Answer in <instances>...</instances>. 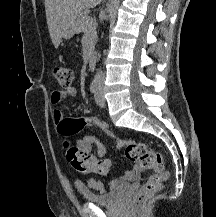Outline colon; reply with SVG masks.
I'll return each instance as SVG.
<instances>
[{
    "label": "colon",
    "mask_w": 216,
    "mask_h": 217,
    "mask_svg": "<svg viewBox=\"0 0 216 217\" xmlns=\"http://www.w3.org/2000/svg\"><path fill=\"white\" fill-rule=\"evenodd\" d=\"M53 76L62 87L69 88L71 86L73 74L70 68L56 66L53 69ZM86 126L98 129L114 140L124 149L125 158L141 170L153 171V174L135 194V204L140 205L146 202L167 181L169 173L165 168L163 156L160 152L150 149L141 141L120 136L103 119L95 117L67 119L60 125L59 131L63 135L68 136L79 132ZM66 159L76 171L82 174L104 172L108 166L106 161H95L89 153L83 151L78 146H70L68 144H66Z\"/></svg>",
    "instance_id": "1"
}]
</instances>
